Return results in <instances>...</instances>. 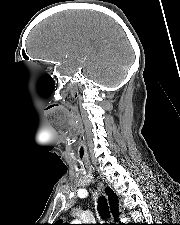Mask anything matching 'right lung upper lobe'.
<instances>
[{
  "label": "right lung upper lobe",
  "mask_w": 180,
  "mask_h": 225,
  "mask_svg": "<svg viewBox=\"0 0 180 225\" xmlns=\"http://www.w3.org/2000/svg\"><path fill=\"white\" fill-rule=\"evenodd\" d=\"M106 194L108 196L109 205H110L112 215H113L114 219L118 222L119 221V219H118L119 211H118L117 195L110 188L106 189ZM53 225H66V224H62L60 221H57ZM119 225H123V224H119Z\"/></svg>",
  "instance_id": "obj_1"
}]
</instances>
